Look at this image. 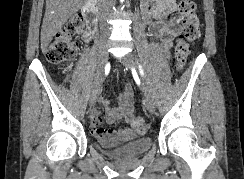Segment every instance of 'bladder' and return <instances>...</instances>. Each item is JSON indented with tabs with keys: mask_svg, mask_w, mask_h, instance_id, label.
<instances>
[{
	"mask_svg": "<svg viewBox=\"0 0 244 179\" xmlns=\"http://www.w3.org/2000/svg\"><path fill=\"white\" fill-rule=\"evenodd\" d=\"M150 137H139L128 144L119 147L116 150L108 151V155L116 159H130L133 157L142 156L150 150Z\"/></svg>",
	"mask_w": 244,
	"mask_h": 179,
	"instance_id": "31cf9c89",
	"label": "bladder"
}]
</instances>
